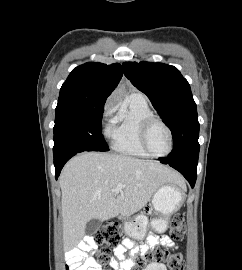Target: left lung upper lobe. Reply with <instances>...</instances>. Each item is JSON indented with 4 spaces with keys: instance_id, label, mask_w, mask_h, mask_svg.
I'll return each instance as SVG.
<instances>
[{
    "instance_id": "obj_1",
    "label": "left lung upper lobe",
    "mask_w": 242,
    "mask_h": 270,
    "mask_svg": "<svg viewBox=\"0 0 242 270\" xmlns=\"http://www.w3.org/2000/svg\"><path fill=\"white\" fill-rule=\"evenodd\" d=\"M125 76L151 100L170 128L173 151L167 158L182 160L199 154V122L190 85L174 66L163 63L126 62Z\"/></svg>"
}]
</instances>
